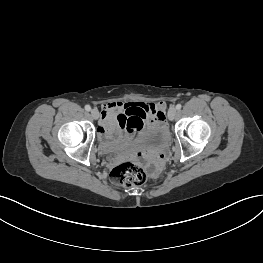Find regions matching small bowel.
<instances>
[{
    "mask_svg": "<svg viewBox=\"0 0 263 263\" xmlns=\"http://www.w3.org/2000/svg\"><path fill=\"white\" fill-rule=\"evenodd\" d=\"M165 103L144 102H109L102 106V117L98 129L99 136L105 146L116 141L129 142L137 139L139 134L155 121H164ZM115 156H119L114 151ZM165 163L164 153H155L150 176L157 178L161 166Z\"/></svg>",
    "mask_w": 263,
    "mask_h": 263,
    "instance_id": "obj_1",
    "label": "small bowel"
}]
</instances>
